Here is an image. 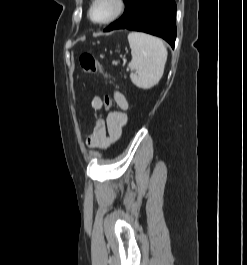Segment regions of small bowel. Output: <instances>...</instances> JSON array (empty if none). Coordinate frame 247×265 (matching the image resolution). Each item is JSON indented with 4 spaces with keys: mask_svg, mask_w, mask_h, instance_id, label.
<instances>
[{
    "mask_svg": "<svg viewBox=\"0 0 247 265\" xmlns=\"http://www.w3.org/2000/svg\"><path fill=\"white\" fill-rule=\"evenodd\" d=\"M114 100L119 107L118 110L111 112L106 120L99 117L94 130L87 139V145L90 148H107L112 142L119 139L122 130L127 123L128 102L125 96L120 92L114 93ZM91 108L98 112L104 108L103 98L95 96L91 100Z\"/></svg>",
    "mask_w": 247,
    "mask_h": 265,
    "instance_id": "1",
    "label": "small bowel"
}]
</instances>
